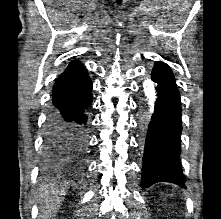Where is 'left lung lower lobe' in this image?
Returning a JSON list of instances; mask_svg holds the SVG:
<instances>
[{"instance_id":"left-lung-lower-lobe-1","label":"left lung lower lobe","mask_w":221,"mask_h":219,"mask_svg":"<svg viewBox=\"0 0 221 219\" xmlns=\"http://www.w3.org/2000/svg\"><path fill=\"white\" fill-rule=\"evenodd\" d=\"M151 79L157 83L155 113L149 123L142 164L141 187L157 182L182 185L185 178L180 163L181 101L169 66L156 62Z\"/></svg>"}]
</instances>
